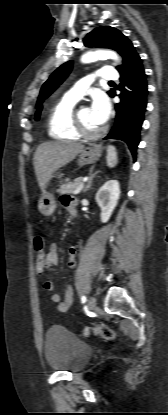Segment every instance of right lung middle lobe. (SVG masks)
<instances>
[{"mask_svg": "<svg viewBox=\"0 0 168 415\" xmlns=\"http://www.w3.org/2000/svg\"><path fill=\"white\" fill-rule=\"evenodd\" d=\"M39 115H40V114H37V115H36V117H35V119H36V120H38V119H39Z\"/></svg>", "mask_w": 168, "mask_h": 415, "instance_id": "1", "label": "right lung middle lobe"}]
</instances>
